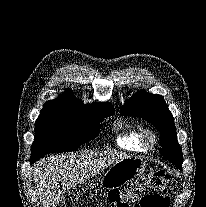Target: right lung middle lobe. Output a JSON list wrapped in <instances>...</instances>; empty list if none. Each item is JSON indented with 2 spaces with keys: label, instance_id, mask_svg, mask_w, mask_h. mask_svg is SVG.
I'll use <instances>...</instances> for the list:
<instances>
[{
  "label": "right lung middle lobe",
  "instance_id": "dd1d6c3e",
  "mask_svg": "<svg viewBox=\"0 0 206 207\" xmlns=\"http://www.w3.org/2000/svg\"><path fill=\"white\" fill-rule=\"evenodd\" d=\"M114 109L83 111L63 107H47L35 123L31 157L41 158L52 152H70L94 139L102 119L113 115Z\"/></svg>",
  "mask_w": 206,
  "mask_h": 207
}]
</instances>
